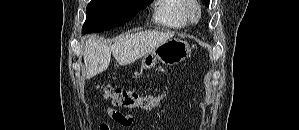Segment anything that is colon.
<instances>
[{
    "label": "colon",
    "mask_w": 299,
    "mask_h": 130,
    "mask_svg": "<svg viewBox=\"0 0 299 130\" xmlns=\"http://www.w3.org/2000/svg\"><path fill=\"white\" fill-rule=\"evenodd\" d=\"M101 92L105 99L110 100L114 106L120 108L152 110L160 107L166 100V94L143 96L126 89L110 86L103 87Z\"/></svg>",
    "instance_id": "1"
}]
</instances>
